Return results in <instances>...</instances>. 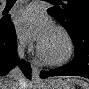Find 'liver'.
<instances>
[{"instance_id":"1","label":"liver","mask_w":89,"mask_h":89,"mask_svg":"<svg viewBox=\"0 0 89 89\" xmlns=\"http://www.w3.org/2000/svg\"><path fill=\"white\" fill-rule=\"evenodd\" d=\"M52 79H49L47 82H49V81H51ZM59 80H61V79H59ZM4 82H6L5 80H3V79H1V89H6L5 87V85L3 84ZM47 82H45V83H47ZM44 83V84H45ZM25 85H26V83H25V80L24 79H22V78H18L17 79V81H16V83H15V86L14 87H25ZM13 89H18V88H13Z\"/></svg>"}]
</instances>
